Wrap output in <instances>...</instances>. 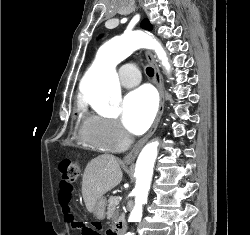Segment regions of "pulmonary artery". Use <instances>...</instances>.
Masks as SVG:
<instances>
[{
  "mask_svg": "<svg viewBox=\"0 0 250 235\" xmlns=\"http://www.w3.org/2000/svg\"><path fill=\"white\" fill-rule=\"evenodd\" d=\"M140 80L141 76L137 66L125 64L121 67L120 82L123 87H134L140 82Z\"/></svg>",
  "mask_w": 250,
  "mask_h": 235,
  "instance_id": "pulmonary-artery-1",
  "label": "pulmonary artery"
}]
</instances>
